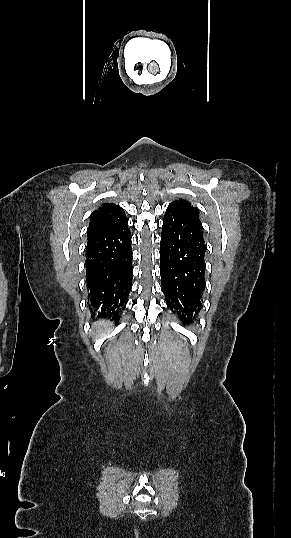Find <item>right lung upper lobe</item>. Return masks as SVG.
Here are the masks:
<instances>
[{
  "label": "right lung upper lobe",
  "instance_id": "right-lung-upper-lobe-1",
  "mask_svg": "<svg viewBox=\"0 0 291 538\" xmlns=\"http://www.w3.org/2000/svg\"><path fill=\"white\" fill-rule=\"evenodd\" d=\"M126 221L125 212L119 205L105 203L91 214L87 235L114 228Z\"/></svg>",
  "mask_w": 291,
  "mask_h": 538
}]
</instances>
